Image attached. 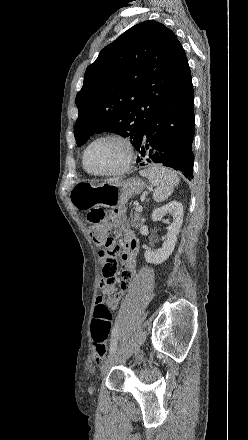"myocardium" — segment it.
<instances>
[{
	"label": "myocardium",
	"mask_w": 248,
	"mask_h": 440,
	"mask_svg": "<svg viewBox=\"0 0 248 440\" xmlns=\"http://www.w3.org/2000/svg\"><path fill=\"white\" fill-rule=\"evenodd\" d=\"M102 140H115V141L120 142L125 147L126 158H125L123 165L120 168L112 170V171H107V172H94V171L90 170V168L88 167L87 154H88L90 148L94 144H96L97 142L102 141ZM134 157H135V154H134L133 146L127 137L120 135V134H117V133H106V134H103V135L96 137L94 140H92L88 144V146L85 148V150L83 152L82 163H83L84 169L89 174H91L93 176L112 177V176L122 175V174L126 173L127 171H129V169L131 168V166L133 164Z\"/></svg>",
	"instance_id": "obj_1"
}]
</instances>
